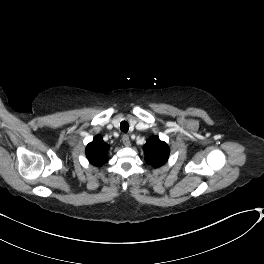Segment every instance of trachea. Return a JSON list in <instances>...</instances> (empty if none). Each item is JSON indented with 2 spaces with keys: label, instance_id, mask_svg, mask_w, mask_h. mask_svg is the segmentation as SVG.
<instances>
[{
  "label": "trachea",
  "instance_id": "1",
  "mask_svg": "<svg viewBox=\"0 0 264 264\" xmlns=\"http://www.w3.org/2000/svg\"><path fill=\"white\" fill-rule=\"evenodd\" d=\"M120 129L122 132L126 133L129 130V124L126 121L120 123Z\"/></svg>",
  "mask_w": 264,
  "mask_h": 264
}]
</instances>
